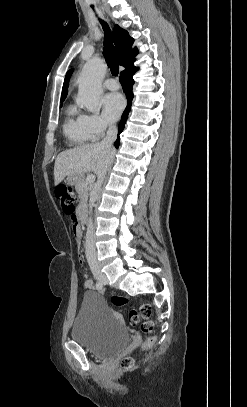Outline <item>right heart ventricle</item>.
I'll return each instance as SVG.
<instances>
[{"label":"right heart ventricle","mask_w":247,"mask_h":407,"mask_svg":"<svg viewBox=\"0 0 247 407\" xmlns=\"http://www.w3.org/2000/svg\"><path fill=\"white\" fill-rule=\"evenodd\" d=\"M63 132L69 144L73 146H82L92 140L85 115L74 105L66 108Z\"/></svg>","instance_id":"e07e8e85"}]
</instances>
